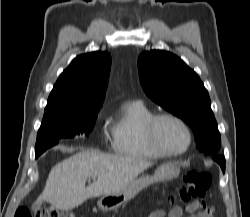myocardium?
Masks as SVG:
<instances>
[{"mask_svg": "<svg viewBox=\"0 0 250 217\" xmlns=\"http://www.w3.org/2000/svg\"><path fill=\"white\" fill-rule=\"evenodd\" d=\"M164 120L173 121L182 127V129L185 131V133L187 135V145L185 146V148H183L181 150L174 151V150H170V149L166 148L161 143V141L159 140V137H158V126H159V123L161 121H164ZM144 130H145L146 138H147L148 142L150 143V145L154 149H156L159 153H161L163 156L182 155L189 150V148L192 144V133H191V130H190L189 126L187 125V123L183 119H181L180 117H178L174 114H171V113L162 112V113L153 114L146 121L145 126H144Z\"/></svg>", "mask_w": 250, "mask_h": 217, "instance_id": "1", "label": "myocardium"}]
</instances>
